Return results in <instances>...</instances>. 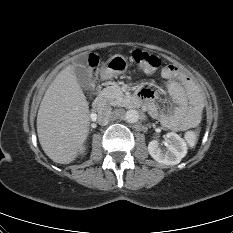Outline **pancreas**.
Returning a JSON list of instances; mask_svg holds the SVG:
<instances>
[{"label":"pancreas","mask_w":233,"mask_h":233,"mask_svg":"<svg viewBox=\"0 0 233 233\" xmlns=\"http://www.w3.org/2000/svg\"><path fill=\"white\" fill-rule=\"evenodd\" d=\"M107 102L113 106H129L130 97L125 96L119 86H108L101 92Z\"/></svg>","instance_id":"cf45deb5"}]
</instances>
